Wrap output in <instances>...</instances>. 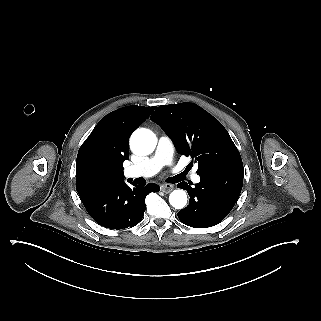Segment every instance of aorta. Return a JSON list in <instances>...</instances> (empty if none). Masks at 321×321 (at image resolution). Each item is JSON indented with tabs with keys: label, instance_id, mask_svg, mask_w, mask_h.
I'll return each instance as SVG.
<instances>
[{
	"label": "aorta",
	"instance_id": "762f6f07",
	"mask_svg": "<svg viewBox=\"0 0 321 321\" xmlns=\"http://www.w3.org/2000/svg\"><path fill=\"white\" fill-rule=\"evenodd\" d=\"M157 145L156 135L149 129L141 128L133 132L130 138V148L137 155H148ZM170 204L176 209H182L187 204V194L184 190H174L169 195Z\"/></svg>",
	"mask_w": 321,
	"mask_h": 321
}]
</instances>
